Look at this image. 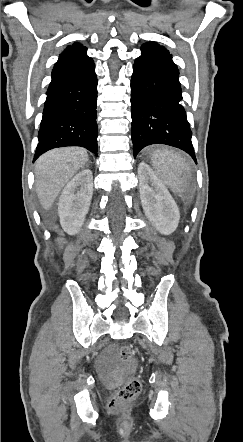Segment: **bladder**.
Listing matches in <instances>:
<instances>
[{
	"label": "bladder",
	"instance_id": "obj_1",
	"mask_svg": "<svg viewBox=\"0 0 243 442\" xmlns=\"http://www.w3.org/2000/svg\"><path fill=\"white\" fill-rule=\"evenodd\" d=\"M120 367H121L122 369H124V368L126 367V365L124 364V362L121 361V363H120Z\"/></svg>",
	"mask_w": 243,
	"mask_h": 442
}]
</instances>
